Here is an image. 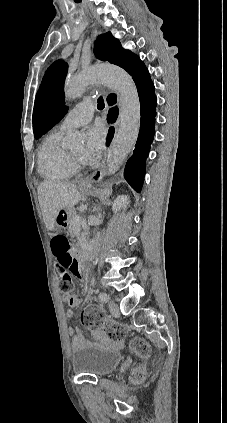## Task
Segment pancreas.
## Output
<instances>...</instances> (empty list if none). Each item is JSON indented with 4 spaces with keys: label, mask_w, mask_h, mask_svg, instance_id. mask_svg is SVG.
Wrapping results in <instances>:
<instances>
[{
    "label": "pancreas",
    "mask_w": 227,
    "mask_h": 423,
    "mask_svg": "<svg viewBox=\"0 0 227 423\" xmlns=\"http://www.w3.org/2000/svg\"><path fill=\"white\" fill-rule=\"evenodd\" d=\"M75 215H77L76 211L74 210V213L69 221V225H68V231L71 235V237H75V235H77V233H79V231H81V227L80 225H78L77 221H73V217H75Z\"/></svg>",
    "instance_id": "obj_1"
}]
</instances>
